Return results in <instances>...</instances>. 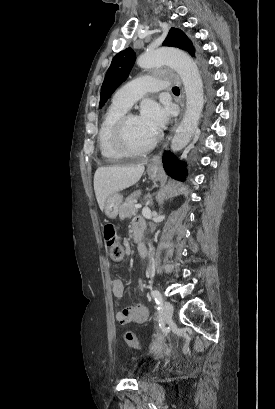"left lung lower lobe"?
I'll return each mask as SVG.
<instances>
[{
  "label": "left lung lower lobe",
  "instance_id": "obj_1",
  "mask_svg": "<svg viewBox=\"0 0 275 409\" xmlns=\"http://www.w3.org/2000/svg\"><path fill=\"white\" fill-rule=\"evenodd\" d=\"M163 167L168 175L177 180L184 181L187 175L185 164L179 162L169 151L163 155Z\"/></svg>",
  "mask_w": 275,
  "mask_h": 409
}]
</instances>
